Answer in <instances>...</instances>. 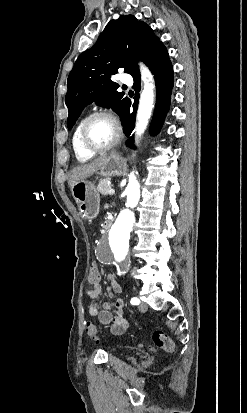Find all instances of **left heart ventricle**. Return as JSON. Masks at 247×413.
Here are the masks:
<instances>
[{
    "instance_id": "b2bd125f",
    "label": "left heart ventricle",
    "mask_w": 247,
    "mask_h": 413,
    "mask_svg": "<svg viewBox=\"0 0 247 413\" xmlns=\"http://www.w3.org/2000/svg\"><path fill=\"white\" fill-rule=\"evenodd\" d=\"M116 133L113 121L107 118H97L87 128L86 139L91 145L102 146L112 141Z\"/></svg>"
}]
</instances>
